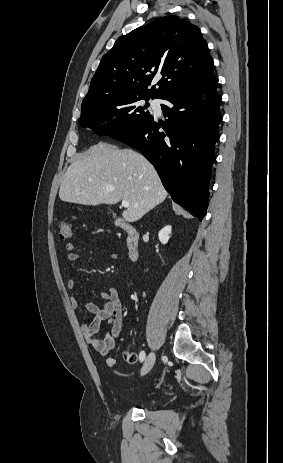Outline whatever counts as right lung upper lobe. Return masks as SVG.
<instances>
[{"instance_id": "obj_1", "label": "right lung upper lobe", "mask_w": 283, "mask_h": 463, "mask_svg": "<svg viewBox=\"0 0 283 463\" xmlns=\"http://www.w3.org/2000/svg\"><path fill=\"white\" fill-rule=\"evenodd\" d=\"M200 29L185 18L165 16L119 37L105 54L82 105L112 96L162 98L214 78V63ZM155 76L158 88L148 89Z\"/></svg>"}]
</instances>
